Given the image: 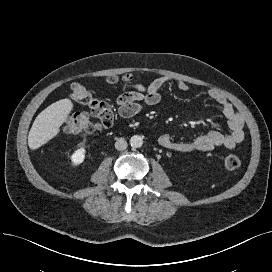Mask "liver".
<instances>
[{
    "mask_svg": "<svg viewBox=\"0 0 272 272\" xmlns=\"http://www.w3.org/2000/svg\"><path fill=\"white\" fill-rule=\"evenodd\" d=\"M73 102L61 99L44 109L34 120L28 135V145L35 150L49 142L60 132V126L73 110Z\"/></svg>",
    "mask_w": 272,
    "mask_h": 272,
    "instance_id": "6515ba94",
    "label": "liver"
}]
</instances>
